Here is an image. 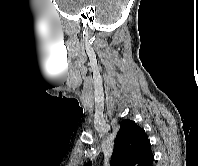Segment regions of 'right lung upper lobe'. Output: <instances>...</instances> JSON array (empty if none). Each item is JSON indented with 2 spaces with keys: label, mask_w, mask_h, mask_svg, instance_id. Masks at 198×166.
<instances>
[{
  "label": "right lung upper lobe",
  "mask_w": 198,
  "mask_h": 166,
  "mask_svg": "<svg viewBox=\"0 0 198 166\" xmlns=\"http://www.w3.org/2000/svg\"><path fill=\"white\" fill-rule=\"evenodd\" d=\"M152 156L145 131L134 121L124 120L115 139L111 166H144ZM87 166H92V163Z\"/></svg>",
  "instance_id": "cb5924a9"
}]
</instances>
